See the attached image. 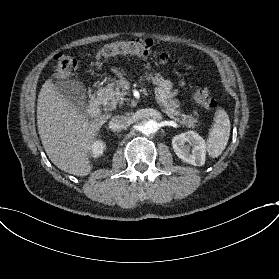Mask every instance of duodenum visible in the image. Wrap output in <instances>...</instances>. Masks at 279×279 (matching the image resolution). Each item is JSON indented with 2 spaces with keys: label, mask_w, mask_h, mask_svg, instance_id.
I'll list each match as a JSON object with an SVG mask.
<instances>
[{
  "label": "duodenum",
  "mask_w": 279,
  "mask_h": 279,
  "mask_svg": "<svg viewBox=\"0 0 279 279\" xmlns=\"http://www.w3.org/2000/svg\"><path fill=\"white\" fill-rule=\"evenodd\" d=\"M101 112L100 103L97 99H91L88 105L87 113L90 116H98Z\"/></svg>",
  "instance_id": "1"
}]
</instances>
